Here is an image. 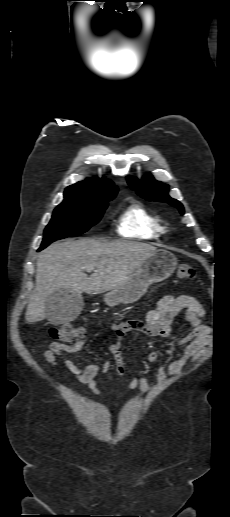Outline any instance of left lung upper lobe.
Masks as SVG:
<instances>
[{"mask_svg":"<svg viewBox=\"0 0 230 517\" xmlns=\"http://www.w3.org/2000/svg\"><path fill=\"white\" fill-rule=\"evenodd\" d=\"M129 184L135 189L139 195L149 201H159L168 203L179 209L184 214L183 205L176 199L168 195V185L156 181L152 175L144 177L141 181L136 179H128Z\"/></svg>","mask_w":230,"mask_h":517,"instance_id":"1","label":"left lung upper lobe"}]
</instances>
